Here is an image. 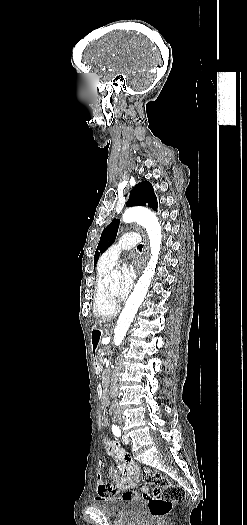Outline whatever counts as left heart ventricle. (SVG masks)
I'll list each match as a JSON object with an SVG mask.
<instances>
[{"instance_id": "obj_1", "label": "left heart ventricle", "mask_w": 247, "mask_h": 525, "mask_svg": "<svg viewBox=\"0 0 247 525\" xmlns=\"http://www.w3.org/2000/svg\"><path fill=\"white\" fill-rule=\"evenodd\" d=\"M130 254L131 253L126 252L124 255L121 256L118 263L116 264V268L118 271L121 272L123 270H140V268L130 260ZM119 282L120 280L108 281L109 290L113 293H117L120 287Z\"/></svg>"}]
</instances>
